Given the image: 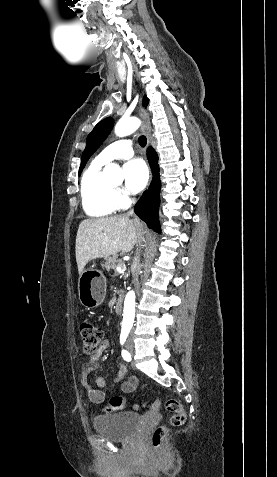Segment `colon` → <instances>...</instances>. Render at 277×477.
Returning <instances> with one entry per match:
<instances>
[{
    "label": "colon",
    "instance_id": "1",
    "mask_svg": "<svg viewBox=\"0 0 277 477\" xmlns=\"http://www.w3.org/2000/svg\"><path fill=\"white\" fill-rule=\"evenodd\" d=\"M80 336L84 352L90 354L95 352L102 339V331L91 320L85 319L80 324ZM126 406L122 397H113L107 406V410L111 412L119 411ZM161 401L155 400L150 404V409L156 411L160 408ZM136 407V406H135ZM165 409L171 413L170 424L173 426H181L185 422V412L182 404L173 398L164 402ZM167 435L166 426L156 427L151 434V444L154 448H159Z\"/></svg>",
    "mask_w": 277,
    "mask_h": 477
}]
</instances>
